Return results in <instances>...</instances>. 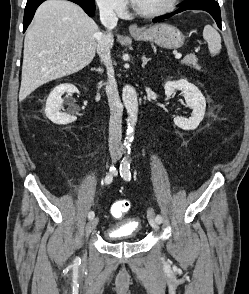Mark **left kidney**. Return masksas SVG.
<instances>
[{
	"label": "left kidney",
	"mask_w": 249,
	"mask_h": 294,
	"mask_svg": "<svg viewBox=\"0 0 249 294\" xmlns=\"http://www.w3.org/2000/svg\"><path fill=\"white\" fill-rule=\"evenodd\" d=\"M165 95L170 97L176 90L182 91L185 101L193 111L190 118L174 117V123L183 130H194L205 115L206 100L201 91L186 79L167 81L164 85Z\"/></svg>",
	"instance_id": "1"
}]
</instances>
